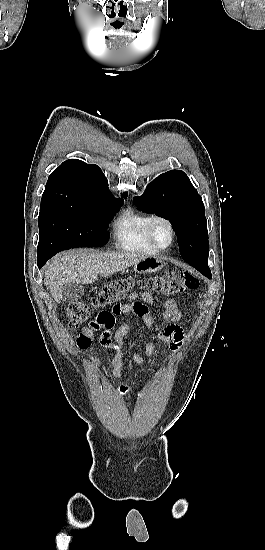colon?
Instances as JSON below:
<instances>
[{
	"instance_id": "obj_1",
	"label": "colon",
	"mask_w": 265,
	"mask_h": 550,
	"mask_svg": "<svg viewBox=\"0 0 265 550\" xmlns=\"http://www.w3.org/2000/svg\"><path fill=\"white\" fill-rule=\"evenodd\" d=\"M199 286L200 281L197 277L180 268L145 279L123 277L105 285L88 300L71 303L67 307L66 316L71 329H78L89 322V327L99 330L113 324L116 316L123 312L125 298L136 287L170 297L186 291L196 290ZM104 307H109L110 310H103L94 319L90 320L94 309ZM134 307L139 312H143L146 306L141 302H136Z\"/></svg>"
}]
</instances>
